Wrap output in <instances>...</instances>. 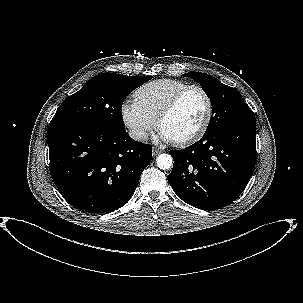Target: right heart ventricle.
Listing matches in <instances>:
<instances>
[{"label": "right heart ventricle", "instance_id": "right-heart-ventricle-1", "mask_svg": "<svg viewBox=\"0 0 303 303\" xmlns=\"http://www.w3.org/2000/svg\"><path fill=\"white\" fill-rule=\"evenodd\" d=\"M188 85L181 80L160 79L143 85L134 95L144 110L156 120L171 98Z\"/></svg>", "mask_w": 303, "mask_h": 303}]
</instances>
